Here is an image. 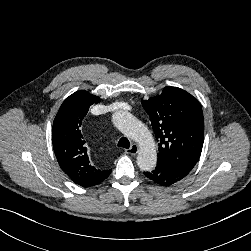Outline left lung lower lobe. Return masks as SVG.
Instances as JSON below:
<instances>
[{
    "label": "left lung lower lobe",
    "mask_w": 251,
    "mask_h": 251,
    "mask_svg": "<svg viewBox=\"0 0 251 251\" xmlns=\"http://www.w3.org/2000/svg\"><path fill=\"white\" fill-rule=\"evenodd\" d=\"M151 180L162 186H170L189 174V171L167 163H157L152 172H144Z\"/></svg>",
    "instance_id": "obj_1"
}]
</instances>
